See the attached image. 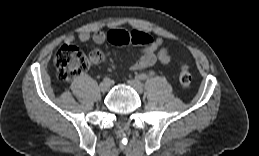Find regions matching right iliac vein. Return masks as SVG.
<instances>
[{
	"instance_id": "obj_1",
	"label": "right iliac vein",
	"mask_w": 259,
	"mask_h": 156,
	"mask_svg": "<svg viewBox=\"0 0 259 156\" xmlns=\"http://www.w3.org/2000/svg\"><path fill=\"white\" fill-rule=\"evenodd\" d=\"M110 88V81H103L99 85V89L101 92H106Z\"/></svg>"
}]
</instances>
